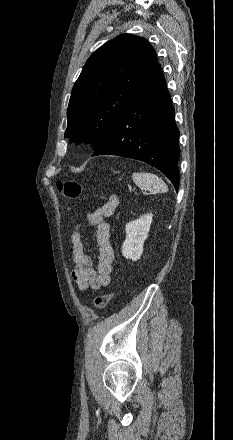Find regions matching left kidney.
<instances>
[{
    "instance_id": "5707ae66",
    "label": "left kidney",
    "mask_w": 233,
    "mask_h": 440,
    "mask_svg": "<svg viewBox=\"0 0 233 440\" xmlns=\"http://www.w3.org/2000/svg\"><path fill=\"white\" fill-rule=\"evenodd\" d=\"M152 213L142 215L139 219L126 224V239L122 245V254L125 258L137 261L140 259L144 241L148 237L152 223Z\"/></svg>"
}]
</instances>
